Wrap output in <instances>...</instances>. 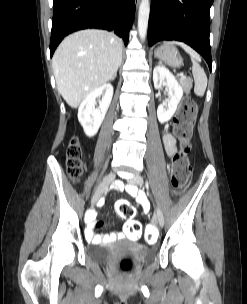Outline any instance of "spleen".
<instances>
[{"label":"spleen","mask_w":247,"mask_h":304,"mask_svg":"<svg viewBox=\"0 0 247 304\" xmlns=\"http://www.w3.org/2000/svg\"><path fill=\"white\" fill-rule=\"evenodd\" d=\"M186 51L191 55V60H192V74L195 82L194 93L197 96L202 97L207 87V76L205 74L204 69L196 61L197 59L196 54L189 50Z\"/></svg>","instance_id":"3e777b00"}]
</instances>
